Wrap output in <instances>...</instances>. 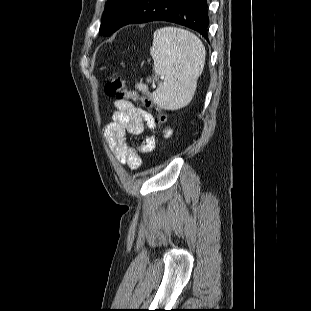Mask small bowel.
<instances>
[{
    "mask_svg": "<svg viewBox=\"0 0 311 311\" xmlns=\"http://www.w3.org/2000/svg\"><path fill=\"white\" fill-rule=\"evenodd\" d=\"M114 106L116 111L105 127L106 140L119 163L133 170L138 169L142 159L139 152L129 145L127 136L143 134L146 128H156L157 123L150 113L127 100H116ZM154 145L155 137L149 136L141 142L139 151L149 153Z\"/></svg>",
    "mask_w": 311,
    "mask_h": 311,
    "instance_id": "obj_1",
    "label": "small bowel"
}]
</instances>
